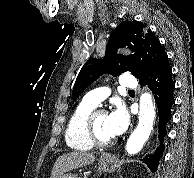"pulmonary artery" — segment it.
<instances>
[{"label": "pulmonary artery", "mask_w": 194, "mask_h": 178, "mask_svg": "<svg viewBox=\"0 0 194 178\" xmlns=\"http://www.w3.org/2000/svg\"><path fill=\"white\" fill-rule=\"evenodd\" d=\"M122 88L135 89L137 88V80L131 74H124L120 81ZM110 91L107 87L97 88L85 96V100L90 104L97 106L109 95Z\"/></svg>", "instance_id": "obj_1"}]
</instances>
